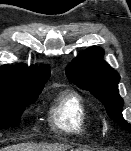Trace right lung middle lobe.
Here are the masks:
<instances>
[{
	"instance_id": "dd1d6c3e",
	"label": "right lung middle lobe",
	"mask_w": 131,
	"mask_h": 151,
	"mask_svg": "<svg viewBox=\"0 0 131 151\" xmlns=\"http://www.w3.org/2000/svg\"><path fill=\"white\" fill-rule=\"evenodd\" d=\"M42 89L0 87V130L18 126L25 108L37 99Z\"/></svg>"
}]
</instances>
